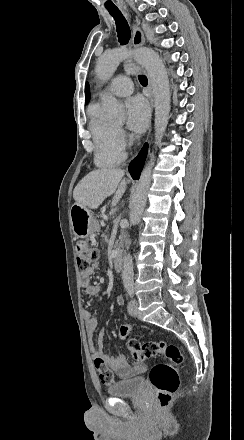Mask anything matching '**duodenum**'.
<instances>
[{
    "mask_svg": "<svg viewBox=\"0 0 244 440\" xmlns=\"http://www.w3.org/2000/svg\"><path fill=\"white\" fill-rule=\"evenodd\" d=\"M113 267L116 273H121L123 269V255L116 253L113 257Z\"/></svg>",
    "mask_w": 244,
    "mask_h": 440,
    "instance_id": "obj_1",
    "label": "duodenum"
}]
</instances>
